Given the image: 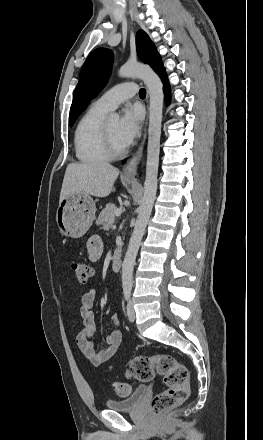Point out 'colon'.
Returning a JSON list of instances; mask_svg holds the SVG:
<instances>
[{
  "mask_svg": "<svg viewBox=\"0 0 263 440\" xmlns=\"http://www.w3.org/2000/svg\"><path fill=\"white\" fill-rule=\"evenodd\" d=\"M66 267L72 272L78 283H85L91 275L90 266L84 262L69 260L66 262ZM126 375L139 382H149L156 375L162 376L166 388L151 400L150 406L154 414H161L173 409L188 397L187 368L178 363L168 352L133 358L128 364ZM113 387L120 396H127L131 392V387L127 383H114Z\"/></svg>",
  "mask_w": 263,
  "mask_h": 440,
  "instance_id": "colon-1",
  "label": "colon"
}]
</instances>
